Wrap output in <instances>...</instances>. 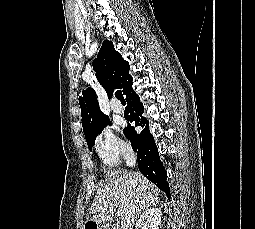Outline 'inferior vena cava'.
<instances>
[{"instance_id":"1","label":"inferior vena cava","mask_w":255,"mask_h":229,"mask_svg":"<svg viewBox=\"0 0 255 229\" xmlns=\"http://www.w3.org/2000/svg\"><path fill=\"white\" fill-rule=\"evenodd\" d=\"M125 160H126V165L129 167H135L136 165V156L132 150H128L125 153Z\"/></svg>"}]
</instances>
